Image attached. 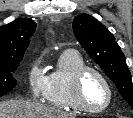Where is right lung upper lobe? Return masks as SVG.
<instances>
[{
    "label": "right lung upper lobe",
    "mask_w": 133,
    "mask_h": 118,
    "mask_svg": "<svg viewBox=\"0 0 133 118\" xmlns=\"http://www.w3.org/2000/svg\"><path fill=\"white\" fill-rule=\"evenodd\" d=\"M36 23L19 18L0 27V62L21 61Z\"/></svg>",
    "instance_id": "1"
}]
</instances>
